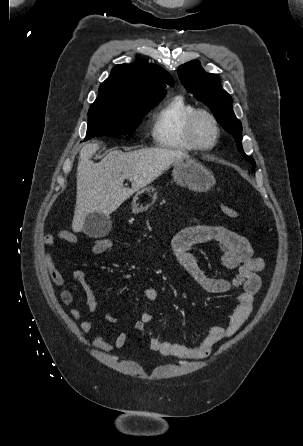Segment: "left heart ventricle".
I'll use <instances>...</instances> for the list:
<instances>
[{
    "label": "left heart ventricle",
    "instance_id": "left-heart-ventricle-1",
    "mask_svg": "<svg viewBox=\"0 0 303 446\" xmlns=\"http://www.w3.org/2000/svg\"><path fill=\"white\" fill-rule=\"evenodd\" d=\"M195 136L202 145H210L215 137L211 121L205 116H199L195 122Z\"/></svg>",
    "mask_w": 303,
    "mask_h": 446
}]
</instances>
